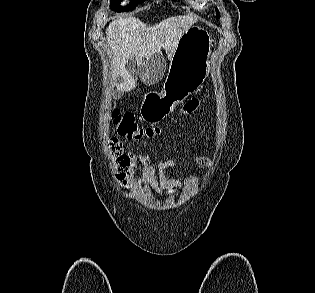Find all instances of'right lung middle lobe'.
I'll use <instances>...</instances> for the list:
<instances>
[{
    "mask_svg": "<svg viewBox=\"0 0 315 293\" xmlns=\"http://www.w3.org/2000/svg\"><path fill=\"white\" fill-rule=\"evenodd\" d=\"M145 0H132L126 7H121V0H112L110 8L117 12H127L133 10L138 4L144 2Z\"/></svg>",
    "mask_w": 315,
    "mask_h": 293,
    "instance_id": "obj_1",
    "label": "right lung middle lobe"
}]
</instances>
